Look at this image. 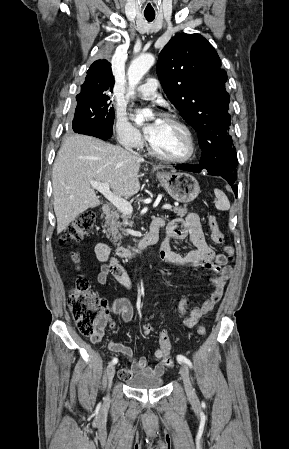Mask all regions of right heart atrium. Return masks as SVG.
Instances as JSON below:
<instances>
[{
    "label": "right heart atrium",
    "instance_id": "1",
    "mask_svg": "<svg viewBox=\"0 0 289 449\" xmlns=\"http://www.w3.org/2000/svg\"><path fill=\"white\" fill-rule=\"evenodd\" d=\"M115 131L118 142L124 147L139 148L143 143L141 133L129 122L122 111L116 115Z\"/></svg>",
    "mask_w": 289,
    "mask_h": 449
}]
</instances>
